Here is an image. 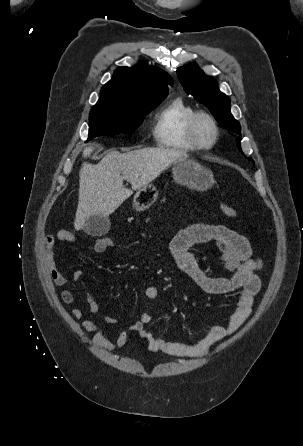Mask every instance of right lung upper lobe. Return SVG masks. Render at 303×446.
Returning <instances> with one entry per match:
<instances>
[{"label":"right lung upper lobe","mask_w":303,"mask_h":446,"mask_svg":"<svg viewBox=\"0 0 303 446\" xmlns=\"http://www.w3.org/2000/svg\"><path fill=\"white\" fill-rule=\"evenodd\" d=\"M173 80L155 66L119 67L102 87V95L93 108L138 110L161 103Z\"/></svg>","instance_id":"right-lung-upper-lobe-1"}]
</instances>
